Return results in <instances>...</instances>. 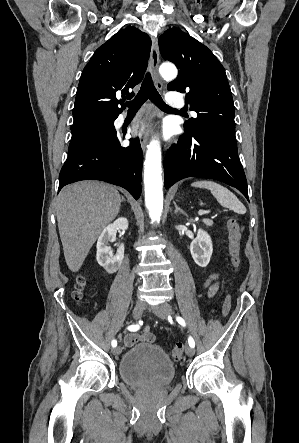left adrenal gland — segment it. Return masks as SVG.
<instances>
[{
    "label": "left adrenal gland",
    "mask_w": 299,
    "mask_h": 443,
    "mask_svg": "<svg viewBox=\"0 0 299 443\" xmlns=\"http://www.w3.org/2000/svg\"><path fill=\"white\" fill-rule=\"evenodd\" d=\"M173 204L175 206V211H174L175 213L180 212V213L186 215V213L176 204V202H173Z\"/></svg>",
    "instance_id": "a2214340"
}]
</instances>
